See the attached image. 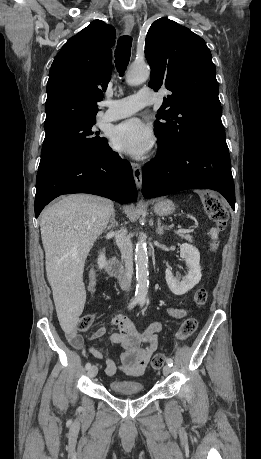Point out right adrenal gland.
Masks as SVG:
<instances>
[{
  "label": "right adrenal gland",
  "mask_w": 261,
  "mask_h": 459,
  "mask_svg": "<svg viewBox=\"0 0 261 459\" xmlns=\"http://www.w3.org/2000/svg\"><path fill=\"white\" fill-rule=\"evenodd\" d=\"M115 216H116L115 211H113L111 219H110V224L109 226H107V230L114 229L115 227L118 226V222L116 221Z\"/></svg>",
  "instance_id": "obj_1"
}]
</instances>
